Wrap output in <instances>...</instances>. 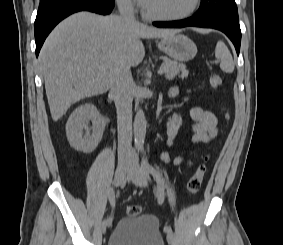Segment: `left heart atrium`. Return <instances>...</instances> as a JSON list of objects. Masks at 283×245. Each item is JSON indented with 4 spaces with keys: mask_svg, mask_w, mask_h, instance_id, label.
<instances>
[{
    "mask_svg": "<svg viewBox=\"0 0 283 245\" xmlns=\"http://www.w3.org/2000/svg\"><path fill=\"white\" fill-rule=\"evenodd\" d=\"M138 2L142 5H145V3L147 2V0H138Z\"/></svg>",
    "mask_w": 283,
    "mask_h": 245,
    "instance_id": "left-heart-atrium-1",
    "label": "left heart atrium"
}]
</instances>
